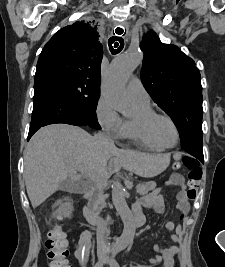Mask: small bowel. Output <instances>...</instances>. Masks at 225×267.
Segmentation results:
<instances>
[{
  "label": "small bowel",
  "mask_w": 225,
  "mask_h": 267,
  "mask_svg": "<svg viewBox=\"0 0 225 267\" xmlns=\"http://www.w3.org/2000/svg\"><path fill=\"white\" fill-rule=\"evenodd\" d=\"M165 187H177L180 189L178 193L177 209L180 211H188L189 203L188 196L185 190L184 178L181 175L174 174L165 183ZM150 209L159 212H163L166 209V204L164 198L161 194L160 189H156L146 196H144L136 205L135 210L138 214H141L144 218V211ZM165 228L171 232V240L176 244L180 241V227H175L173 222H166ZM89 238V233L84 232L81 236L80 244L76 247L75 256L80 260H85L87 258V253L85 251V244ZM154 250L157 255L151 258V265L157 267H173L174 256L178 252V247L172 245L169 247H161L159 245H154ZM141 267H151V266H141Z\"/></svg>",
  "instance_id": "small-bowel-1"
}]
</instances>
